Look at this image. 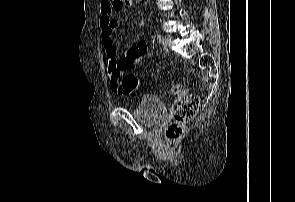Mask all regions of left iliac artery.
<instances>
[{"instance_id":"44dca946","label":"left iliac artery","mask_w":295,"mask_h":202,"mask_svg":"<svg viewBox=\"0 0 295 202\" xmlns=\"http://www.w3.org/2000/svg\"><path fill=\"white\" fill-rule=\"evenodd\" d=\"M156 39L159 43H161L163 41V37L160 34L156 35Z\"/></svg>"}]
</instances>
